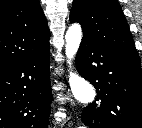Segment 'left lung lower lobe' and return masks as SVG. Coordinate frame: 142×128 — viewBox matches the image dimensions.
Masks as SVG:
<instances>
[{"label":"left lung lower lobe","instance_id":"left-lung-lower-lobe-1","mask_svg":"<svg viewBox=\"0 0 142 128\" xmlns=\"http://www.w3.org/2000/svg\"><path fill=\"white\" fill-rule=\"evenodd\" d=\"M79 74L97 91L82 112L89 128H142L141 62L84 38L76 57Z\"/></svg>","mask_w":142,"mask_h":128}]
</instances>
